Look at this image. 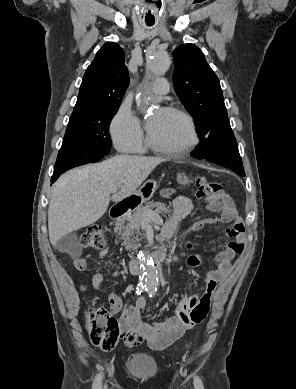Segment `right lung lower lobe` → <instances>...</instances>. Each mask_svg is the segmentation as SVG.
<instances>
[{"mask_svg": "<svg viewBox=\"0 0 296 389\" xmlns=\"http://www.w3.org/2000/svg\"><path fill=\"white\" fill-rule=\"evenodd\" d=\"M65 171H67L66 169H62V170H54V173L52 175V178H51V183H54L57 178L62 174L64 173Z\"/></svg>", "mask_w": 296, "mask_h": 389, "instance_id": "98d812e1", "label": "right lung lower lobe"}]
</instances>
